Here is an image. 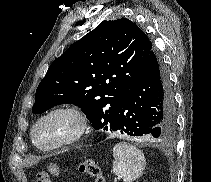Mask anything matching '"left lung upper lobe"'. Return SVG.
Segmentation results:
<instances>
[{"label": "left lung upper lobe", "mask_w": 211, "mask_h": 182, "mask_svg": "<svg viewBox=\"0 0 211 182\" xmlns=\"http://www.w3.org/2000/svg\"><path fill=\"white\" fill-rule=\"evenodd\" d=\"M153 46L132 21H102L50 65L37 87L33 113L74 104L95 129L113 131L121 102Z\"/></svg>", "instance_id": "left-lung-upper-lobe-1"}]
</instances>
